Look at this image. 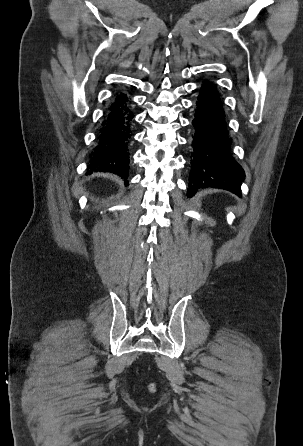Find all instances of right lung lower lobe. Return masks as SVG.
<instances>
[{
  "mask_svg": "<svg viewBox=\"0 0 303 446\" xmlns=\"http://www.w3.org/2000/svg\"><path fill=\"white\" fill-rule=\"evenodd\" d=\"M131 99L126 93H117L102 124L89 172H112L127 179L129 173L128 146L132 137Z\"/></svg>",
  "mask_w": 303,
  "mask_h": 446,
  "instance_id": "right-lung-lower-lobe-1",
  "label": "right lung lower lobe"
}]
</instances>
